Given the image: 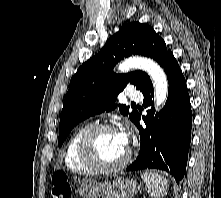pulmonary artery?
Masks as SVG:
<instances>
[{
	"instance_id": "e3ab8cb5",
	"label": "pulmonary artery",
	"mask_w": 221,
	"mask_h": 198,
	"mask_svg": "<svg viewBox=\"0 0 221 198\" xmlns=\"http://www.w3.org/2000/svg\"><path fill=\"white\" fill-rule=\"evenodd\" d=\"M128 96H129L130 99L136 100V101L142 100V98H143L142 93L138 90H135V89H131L128 92Z\"/></svg>"
}]
</instances>
